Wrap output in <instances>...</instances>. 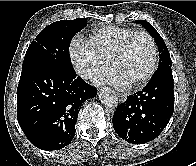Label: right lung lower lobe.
Returning a JSON list of instances; mask_svg holds the SVG:
<instances>
[{"instance_id":"right-lung-lower-lobe-1","label":"right lung lower lobe","mask_w":196,"mask_h":166,"mask_svg":"<svg viewBox=\"0 0 196 166\" xmlns=\"http://www.w3.org/2000/svg\"><path fill=\"white\" fill-rule=\"evenodd\" d=\"M97 89L74 70L37 65L22 70L17 89L18 123L42 150H59L72 141L78 112Z\"/></svg>"}]
</instances>
